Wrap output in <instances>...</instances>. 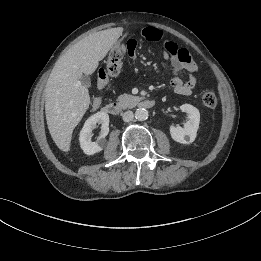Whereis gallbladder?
I'll use <instances>...</instances> for the list:
<instances>
[{"mask_svg":"<svg viewBox=\"0 0 261 261\" xmlns=\"http://www.w3.org/2000/svg\"><path fill=\"white\" fill-rule=\"evenodd\" d=\"M80 82L82 83V85L86 86V87H89L91 85V80L88 76H83L81 79H80Z\"/></svg>","mask_w":261,"mask_h":261,"instance_id":"gallbladder-1","label":"gallbladder"}]
</instances>
